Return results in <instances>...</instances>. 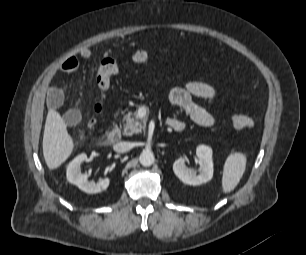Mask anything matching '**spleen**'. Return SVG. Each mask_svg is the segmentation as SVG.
<instances>
[{"instance_id":"obj_1","label":"spleen","mask_w":306,"mask_h":255,"mask_svg":"<svg viewBox=\"0 0 306 255\" xmlns=\"http://www.w3.org/2000/svg\"><path fill=\"white\" fill-rule=\"evenodd\" d=\"M246 168V156L236 152L230 154L223 167L222 191L229 193L237 186Z\"/></svg>"}]
</instances>
